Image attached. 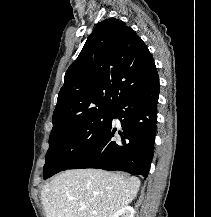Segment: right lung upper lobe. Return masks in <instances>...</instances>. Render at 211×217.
Here are the masks:
<instances>
[{"label":"right lung upper lobe","instance_id":"1","mask_svg":"<svg viewBox=\"0 0 211 217\" xmlns=\"http://www.w3.org/2000/svg\"><path fill=\"white\" fill-rule=\"evenodd\" d=\"M157 75L142 39L118 19L98 23L68 68L53 113V128L83 114L114 109Z\"/></svg>","mask_w":211,"mask_h":217}]
</instances>
